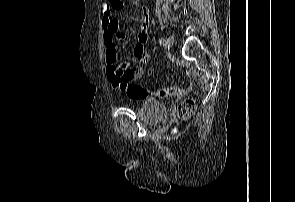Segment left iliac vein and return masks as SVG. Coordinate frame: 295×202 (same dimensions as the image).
<instances>
[{
  "label": "left iliac vein",
  "mask_w": 295,
  "mask_h": 202,
  "mask_svg": "<svg viewBox=\"0 0 295 202\" xmlns=\"http://www.w3.org/2000/svg\"><path fill=\"white\" fill-rule=\"evenodd\" d=\"M173 42H174V39H173V37L170 36V37L166 38L164 45L166 48H170L173 45Z\"/></svg>",
  "instance_id": "obj_1"
}]
</instances>
